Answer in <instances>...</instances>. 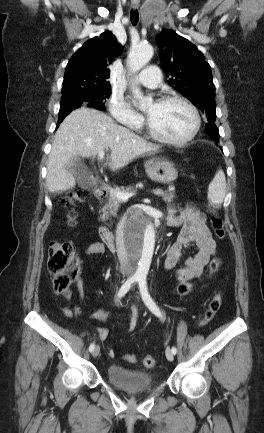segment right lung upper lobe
<instances>
[{"label": "right lung upper lobe", "instance_id": "right-lung-upper-lobe-1", "mask_svg": "<svg viewBox=\"0 0 264 433\" xmlns=\"http://www.w3.org/2000/svg\"><path fill=\"white\" fill-rule=\"evenodd\" d=\"M122 51L123 47L110 31L88 40L66 66L62 97L76 91L110 86L108 67Z\"/></svg>", "mask_w": 264, "mask_h": 433}]
</instances>
